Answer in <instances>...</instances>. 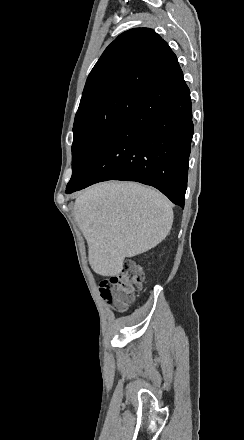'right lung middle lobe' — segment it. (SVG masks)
<instances>
[{"label":"right lung middle lobe","mask_w":244,"mask_h":440,"mask_svg":"<svg viewBox=\"0 0 244 440\" xmlns=\"http://www.w3.org/2000/svg\"><path fill=\"white\" fill-rule=\"evenodd\" d=\"M140 98L119 94L107 100L79 105L73 126V173L67 186L81 177L101 145Z\"/></svg>","instance_id":"dd1d6c3e"}]
</instances>
